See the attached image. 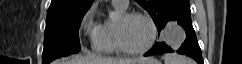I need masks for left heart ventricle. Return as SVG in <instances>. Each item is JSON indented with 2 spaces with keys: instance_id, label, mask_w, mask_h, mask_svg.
I'll use <instances>...</instances> for the list:
<instances>
[{
  "instance_id": "b2bd125f",
  "label": "left heart ventricle",
  "mask_w": 242,
  "mask_h": 64,
  "mask_svg": "<svg viewBox=\"0 0 242 64\" xmlns=\"http://www.w3.org/2000/svg\"><path fill=\"white\" fill-rule=\"evenodd\" d=\"M123 40L126 45L138 49L147 44L151 35V28L147 21L141 18L120 20Z\"/></svg>"
}]
</instances>
